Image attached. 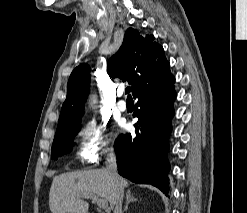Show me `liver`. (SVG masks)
Instances as JSON below:
<instances>
[{
	"label": "liver",
	"mask_w": 247,
	"mask_h": 213,
	"mask_svg": "<svg viewBox=\"0 0 247 213\" xmlns=\"http://www.w3.org/2000/svg\"><path fill=\"white\" fill-rule=\"evenodd\" d=\"M122 189L128 181L118 176ZM117 183L106 169L84 170L55 176L49 193V207L52 213H87L89 203L82 198L93 194L105 199L113 208Z\"/></svg>",
	"instance_id": "1"
}]
</instances>
